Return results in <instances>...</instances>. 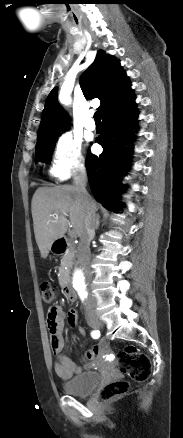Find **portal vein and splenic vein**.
I'll list each match as a JSON object with an SVG mask.
<instances>
[{
    "label": "portal vein and splenic vein",
    "instance_id": "1",
    "mask_svg": "<svg viewBox=\"0 0 183 438\" xmlns=\"http://www.w3.org/2000/svg\"><path fill=\"white\" fill-rule=\"evenodd\" d=\"M52 216L55 217L56 219L58 218V215H52ZM71 235H72V236L75 235V233L73 232V230H72V232H71Z\"/></svg>",
    "mask_w": 183,
    "mask_h": 438
}]
</instances>
